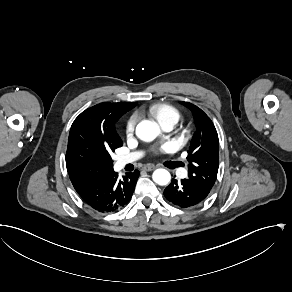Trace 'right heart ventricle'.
Here are the masks:
<instances>
[{
  "mask_svg": "<svg viewBox=\"0 0 292 292\" xmlns=\"http://www.w3.org/2000/svg\"><path fill=\"white\" fill-rule=\"evenodd\" d=\"M148 113L161 124L167 120H174L176 123L180 118L179 111L167 103H154L149 106Z\"/></svg>",
  "mask_w": 292,
  "mask_h": 292,
  "instance_id": "right-heart-ventricle-1",
  "label": "right heart ventricle"
}]
</instances>
